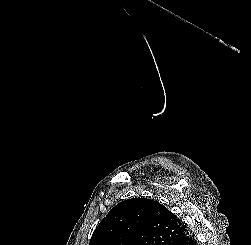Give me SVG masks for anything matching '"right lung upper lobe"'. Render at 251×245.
Masks as SVG:
<instances>
[{"label":"right lung upper lobe","instance_id":"obj_1","mask_svg":"<svg viewBox=\"0 0 251 245\" xmlns=\"http://www.w3.org/2000/svg\"><path fill=\"white\" fill-rule=\"evenodd\" d=\"M186 233L184 223L159 202L132 198L109 211L89 245H171Z\"/></svg>","mask_w":251,"mask_h":245}]
</instances>
